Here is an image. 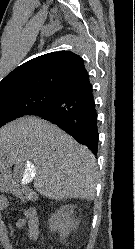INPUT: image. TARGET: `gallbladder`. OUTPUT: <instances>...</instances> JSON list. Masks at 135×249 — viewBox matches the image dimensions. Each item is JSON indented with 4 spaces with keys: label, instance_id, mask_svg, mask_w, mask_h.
Listing matches in <instances>:
<instances>
[{
    "label": "gallbladder",
    "instance_id": "gallbladder-1",
    "mask_svg": "<svg viewBox=\"0 0 135 249\" xmlns=\"http://www.w3.org/2000/svg\"><path fill=\"white\" fill-rule=\"evenodd\" d=\"M18 170H20V173L23 174L24 170H25V165H16L15 166V172H18ZM5 182H0V185L3 184Z\"/></svg>",
    "mask_w": 135,
    "mask_h": 249
}]
</instances>
